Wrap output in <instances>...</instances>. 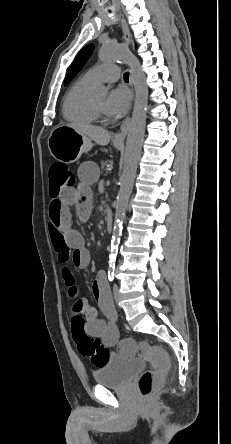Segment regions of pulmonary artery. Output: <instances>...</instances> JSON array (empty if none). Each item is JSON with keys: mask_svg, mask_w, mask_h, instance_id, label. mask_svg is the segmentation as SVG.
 <instances>
[{"mask_svg": "<svg viewBox=\"0 0 231 444\" xmlns=\"http://www.w3.org/2000/svg\"><path fill=\"white\" fill-rule=\"evenodd\" d=\"M84 77L94 84L114 82L120 77V69L116 64L105 63L89 69Z\"/></svg>", "mask_w": 231, "mask_h": 444, "instance_id": "pulmonary-artery-1", "label": "pulmonary artery"}]
</instances>
